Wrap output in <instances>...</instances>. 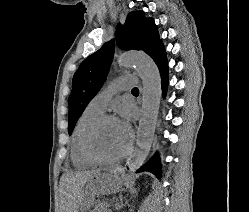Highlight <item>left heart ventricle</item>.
Instances as JSON below:
<instances>
[{"label": "left heart ventricle", "mask_w": 249, "mask_h": 212, "mask_svg": "<svg viewBox=\"0 0 249 212\" xmlns=\"http://www.w3.org/2000/svg\"><path fill=\"white\" fill-rule=\"evenodd\" d=\"M128 147L127 139L121 131L118 121H107L103 123L96 132L94 138V149L104 159L115 158Z\"/></svg>", "instance_id": "left-heart-ventricle-1"}]
</instances>
